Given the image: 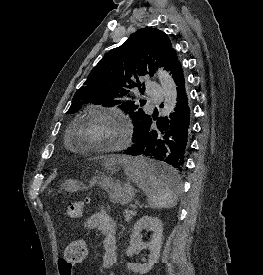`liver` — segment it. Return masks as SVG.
<instances>
[{
  "label": "liver",
  "instance_id": "1",
  "mask_svg": "<svg viewBox=\"0 0 263 275\" xmlns=\"http://www.w3.org/2000/svg\"><path fill=\"white\" fill-rule=\"evenodd\" d=\"M124 157L121 156H110L106 159V163L110 164V163H114V162H119L121 163L123 161Z\"/></svg>",
  "mask_w": 263,
  "mask_h": 275
}]
</instances>
